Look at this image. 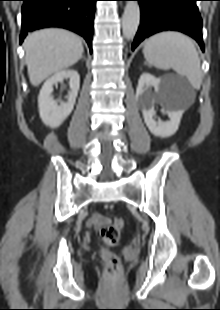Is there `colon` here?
<instances>
[{
    "label": "colon",
    "mask_w": 220,
    "mask_h": 310,
    "mask_svg": "<svg viewBox=\"0 0 220 310\" xmlns=\"http://www.w3.org/2000/svg\"><path fill=\"white\" fill-rule=\"evenodd\" d=\"M124 222L120 218L106 221L101 228V240L103 248L101 255L107 266V274L116 276L120 272V260L118 256L108 248L117 244Z\"/></svg>",
    "instance_id": "1"
}]
</instances>
